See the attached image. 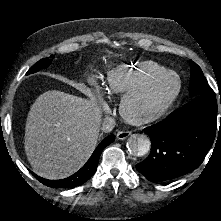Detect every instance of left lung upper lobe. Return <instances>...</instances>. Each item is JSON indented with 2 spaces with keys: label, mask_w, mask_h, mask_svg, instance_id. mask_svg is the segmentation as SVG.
<instances>
[{
  "label": "left lung upper lobe",
  "mask_w": 221,
  "mask_h": 221,
  "mask_svg": "<svg viewBox=\"0 0 221 221\" xmlns=\"http://www.w3.org/2000/svg\"><path fill=\"white\" fill-rule=\"evenodd\" d=\"M190 95L195 97L198 95L215 96L214 91L208 85L200 67L191 61V77L189 86Z\"/></svg>",
  "instance_id": "obj_1"
}]
</instances>
